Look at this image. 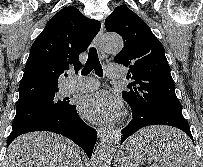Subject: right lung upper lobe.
<instances>
[{
  "label": "right lung upper lobe",
  "instance_id": "obj_1",
  "mask_svg": "<svg viewBox=\"0 0 203 167\" xmlns=\"http://www.w3.org/2000/svg\"><path fill=\"white\" fill-rule=\"evenodd\" d=\"M100 22L89 19L73 6L56 13L34 41L19 85L17 104L58 91L65 70H79V54L99 32Z\"/></svg>",
  "mask_w": 203,
  "mask_h": 167
}]
</instances>
